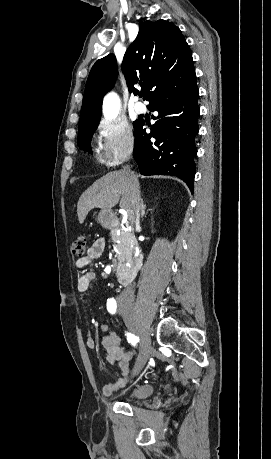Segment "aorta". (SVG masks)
I'll list each match as a JSON object with an SVG mask.
<instances>
[{
    "label": "aorta",
    "mask_w": 271,
    "mask_h": 459,
    "mask_svg": "<svg viewBox=\"0 0 271 459\" xmlns=\"http://www.w3.org/2000/svg\"><path fill=\"white\" fill-rule=\"evenodd\" d=\"M120 109L119 98L115 93L108 94L103 102V113L107 119L115 118Z\"/></svg>",
    "instance_id": "762f6f07"
}]
</instances>
